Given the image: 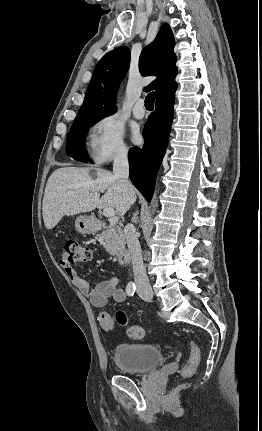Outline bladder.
Wrapping results in <instances>:
<instances>
[{"label": "bladder", "instance_id": "bladder-1", "mask_svg": "<svg viewBox=\"0 0 262 431\" xmlns=\"http://www.w3.org/2000/svg\"><path fill=\"white\" fill-rule=\"evenodd\" d=\"M114 356L119 370L139 374L156 369L165 358L162 348L151 343L118 344Z\"/></svg>", "mask_w": 262, "mask_h": 431}]
</instances>
